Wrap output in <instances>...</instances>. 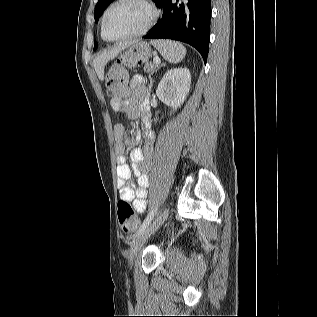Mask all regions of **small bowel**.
<instances>
[{
	"label": "small bowel",
	"mask_w": 317,
	"mask_h": 317,
	"mask_svg": "<svg viewBox=\"0 0 317 317\" xmlns=\"http://www.w3.org/2000/svg\"><path fill=\"white\" fill-rule=\"evenodd\" d=\"M112 109L116 112H124L130 119H140L143 127V148H133L130 152L131 166L126 163L125 151L132 147L140 139L141 133L129 136L125 133L122 124H116L113 128L115 139V153L117 162L118 187L121 198L132 202L137 213H143L147 206V189L149 187L150 163L145 158L153 155L155 135L150 129L148 89L141 76H134L130 81L126 98L113 97L110 100ZM134 174L137 177V186L128 182Z\"/></svg>",
	"instance_id": "small-bowel-1"
}]
</instances>
